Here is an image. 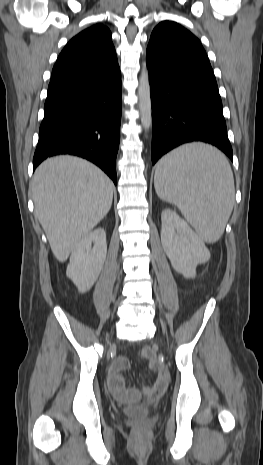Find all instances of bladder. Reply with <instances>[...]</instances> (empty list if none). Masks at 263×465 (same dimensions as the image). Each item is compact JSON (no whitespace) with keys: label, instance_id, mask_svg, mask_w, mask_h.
<instances>
[{"label":"bladder","instance_id":"obj_1","mask_svg":"<svg viewBox=\"0 0 263 465\" xmlns=\"http://www.w3.org/2000/svg\"><path fill=\"white\" fill-rule=\"evenodd\" d=\"M148 408L137 405H130L124 409V413L128 416H142L148 413Z\"/></svg>","mask_w":263,"mask_h":465}]
</instances>
